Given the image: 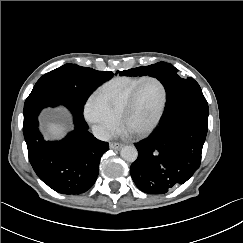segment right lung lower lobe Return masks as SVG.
<instances>
[{
	"instance_id": "98d812e1",
	"label": "right lung lower lobe",
	"mask_w": 243,
	"mask_h": 243,
	"mask_svg": "<svg viewBox=\"0 0 243 243\" xmlns=\"http://www.w3.org/2000/svg\"><path fill=\"white\" fill-rule=\"evenodd\" d=\"M58 105L72 112L75 130L61 141H45L38 129V115ZM87 129L83 109L59 94L31 92L25 101L23 133L30 163L38 177L58 193H84L97 179L100 159L109 144Z\"/></svg>"
}]
</instances>
